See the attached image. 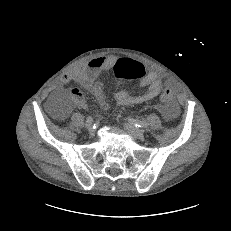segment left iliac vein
Listing matches in <instances>:
<instances>
[{
	"mask_svg": "<svg viewBox=\"0 0 231 231\" xmlns=\"http://www.w3.org/2000/svg\"><path fill=\"white\" fill-rule=\"evenodd\" d=\"M124 127L128 131V133L130 135H132L134 138L140 139V140H142L144 138V134H143L142 130L135 128L132 125L127 124V123L124 124Z\"/></svg>",
	"mask_w": 231,
	"mask_h": 231,
	"instance_id": "4c4485c4",
	"label": "left iliac vein"
}]
</instances>
